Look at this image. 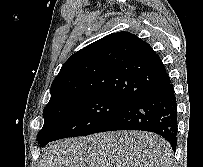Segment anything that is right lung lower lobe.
Masks as SVG:
<instances>
[{
  "label": "right lung lower lobe",
  "mask_w": 203,
  "mask_h": 167,
  "mask_svg": "<svg viewBox=\"0 0 203 167\" xmlns=\"http://www.w3.org/2000/svg\"><path fill=\"white\" fill-rule=\"evenodd\" d=\"M177 103L170 78L125 106L98 132L115 130H141L161 135L173 151L177 145Z\"/></svg>",
  "instance_id": "1"
}]
</instances>
